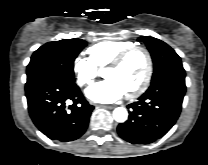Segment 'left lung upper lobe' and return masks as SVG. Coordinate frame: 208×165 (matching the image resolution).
<instances>
[{
    "label": "left lung upper lobe",
    "mask_w": 208,
    "mask_h": 165,
    "mask_svg": "<svg viewBox=\"0 0 208 165\" xmlns=\"http://www.w3.org/2000/svg\"><path fill=\"white\" fill-rule=\"evenodd\" d=\"M138 40L143 41L151 53L154 64L152 81L169 72L184 71L180 57L166 43L150 36H142Z\"/></svg>",
    "instance_id": "left-lung-upper-lobe-1"
}]
</instances>
